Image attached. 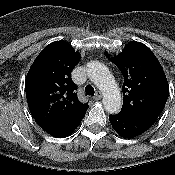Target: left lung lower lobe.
Here are the masks:
<instances>
[{
	"label": "left lung lower lobe",
	"mask_w": 175,
	"mask_h": 175,
	"mask_svg": "<svg viewBox=\"0 0 175 175\" xmlns=\"http://www.w3.org/2000/svg\"><path fill=\"white\" fill-rule=\"evenodd\" d=\"M160 114L144 112L137 114L109 115L114 130L123 138H134L147 131Z\"/></svg>",
	"instance_id": "left-lung-lower-lobe-1"
}]
</instances>
